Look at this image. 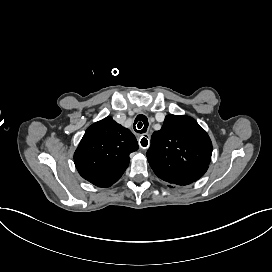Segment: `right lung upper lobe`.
<instances>
[{
  "label": "right lung upper lobe",
  "instance_id": "1",
  "mask_svg": "<svg viewBox=\"0 0 272 272\" xmlns=\"http://www.w3.org/2000/svg\"><path fill=\"white\" fill-rule=\"evenodd\" d=\"M138 149L132 132L106 117L85 132L74 154L79 174L98 187H110L129 165V154Z\"/></svg>",
  "mask_w": 272,
  "mask_h": 272
}]
</instances>
